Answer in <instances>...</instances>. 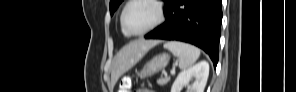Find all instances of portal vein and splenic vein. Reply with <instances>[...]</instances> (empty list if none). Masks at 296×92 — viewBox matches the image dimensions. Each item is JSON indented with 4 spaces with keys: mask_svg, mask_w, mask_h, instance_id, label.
<instances>
[{
    "mask_svg": "<svg viewBox=\"0 0 296 92\" xmlns=\"http://www.w3.org/2000/svg\"><path fill=\"white\" fill-rule=\"evenodd\" d=\"M171 74H175V69H172L171 70Z\"/></svg>",
    "mask_w": 296,
    "mask_h": 92,
    "instance_id": "portal-vein-and-splenic-vein-1",
    "label": "portal vein and splenic vein"
}]
</instances>
